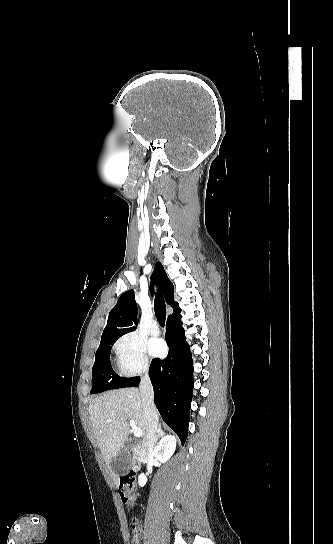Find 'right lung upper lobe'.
Returning <instances> with one entry per match:
<instances>
[{
    "instance_id": "cb5924a9",
    "label": "right lung upper lobe",
    "mask_w": 333,
    "mask_h": 544,
    "mask_svg": "<svg viewBox=\"0 0 333 544\" xmlns=\"http://www.w3.org/2000/svg\"><path fill=\"white\" fill-rule=\"evenodd\" d=\"M153 284L161 286L167 304L173 308V314L180 313L181 309L178 303L174 301V286L160 262L156 263L151 276V292L154 290ZM133 323L137 324V305L134 298V291L129 290L120 296L117 304L110 311L101 339L122 336L131 332L135 328Z\"/></svg>"
}]
</instances>
